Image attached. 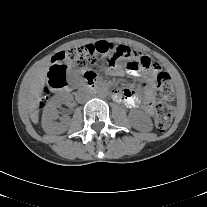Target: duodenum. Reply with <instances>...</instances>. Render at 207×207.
<instances>
[{
	"mask_svg": "<svg viewBox=\"0 0 207 207\" xmlns=\"http://www.w3.org/2000/svg\"><path fill=\"white\" fill-rule=\"evenodd\" d=\"M85 82L89 86V89L91 91H96V90H99L101 88L100 84H98L96 82L95 77L92 74H87L86 75Z\"/></svg>",
	"mask_w": 207,
	"mask_h": 207,
	"instance_id": "duodenum-1",
	"label": "duodenum"
}]
</instances>
